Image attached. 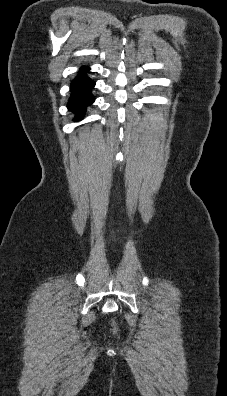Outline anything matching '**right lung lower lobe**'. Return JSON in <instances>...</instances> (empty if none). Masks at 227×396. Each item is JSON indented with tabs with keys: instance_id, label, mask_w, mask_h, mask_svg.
<instances>
[{
	"instance_id": "right-lung-lower-lobe-1",
	"label": "right lung lower lobe",
	"mask_w": 227,
	"mask_h": 396,
	"mask_svg": "<svg viewBox=\"0 0 227 396\" xmlns=\"http://www.w3.org/2000/svg\"><path fill=\"white\" fill-rule=\"evenodd\" d=\"M83 70L88 71L89 68H81L79 74L72 80L70 85L71 96L67 104L68 109L76 115L75 121L83 119L86 107L94 102L91 90L95 83L88 76L84 75Z\"/></svg>"
}]
</instances>
